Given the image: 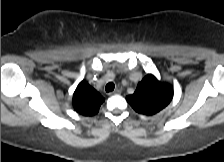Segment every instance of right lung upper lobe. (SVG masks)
I'll list each match as a JSON object with an SVG mask.
<instances>
[{"label":"right lung upper lobe","mask_w":224,"mask_h":162,"mask_svg":"<svg viewBox=\"0 0 224 162\" xmlns=\"http://www.w3.org/2000/svg\"><path fill=\"white\" fill-rule=\"evenodd\" d=\"M104 98L86 81H81L73 94V107L81 115L92 116L98 113Z\"/></svg>","instance_id":"1"}]
</instances>
